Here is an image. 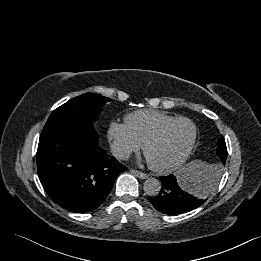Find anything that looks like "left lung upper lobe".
Segmentation results:
<instances>
[{"instance_id":"left-lung-upper-lobe-1","label":"left lung upper lobe","mask_w":261,"mask_h":261,"mask_svg":"<svg viewBox=\"0 0 261 261\" xmlns=\"http://www.w3.org/2000/svg\"><path fill=\"white\" fill-rule=\"evenodd\" d=\"M216 152H217L218 156L220 157L221 161L226 162L227 147H226L225 139L223 137L219 138L217 141Z\"/></svg>"}]
</instances>
